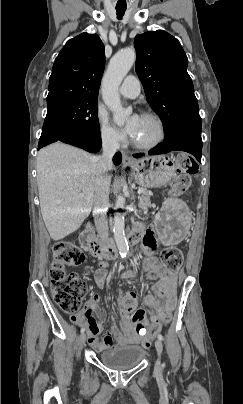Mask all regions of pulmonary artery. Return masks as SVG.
<instances>
[{"label": "pulmonary artery", "mask_w": 243, "mask_h": 404, "mask_svg": "<svg viewBox=\"0 0 243 404\" xmlns=\"http://www.w3.org/2000/svg\"><path fill=\"white\" fill-rule=\"evenodd\" d=\"M120 94L126 98H135L141 92V82L135 75H128L120 86Z\"/></svg>", "instance_id": "obj_1"}]
</instances>
